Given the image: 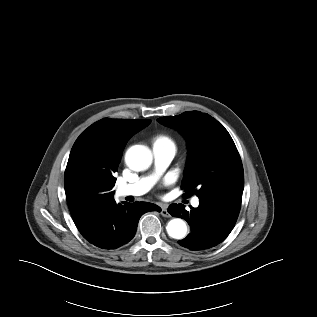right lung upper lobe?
Returning <instances> with one entry per match:
<instances>
[{"mask_svg":"<svg viewBox=\"0 0 317 317\" xmlns=\"http://www.w3.org/2000/svg\"><path fill=\"white\" fill-rule=\"evenodd\" d=\"M151 120L102 119L75 141L65 170V181L77 171L94 174L112 188L127 141ZM111 188V189H112ZM114 192L110 191L111 197Z\"/></svg>","mask_w":317,"mask_h":317,"instance_id":"cb5924a9","label":"right lung upper lobe"}]
</instances>
